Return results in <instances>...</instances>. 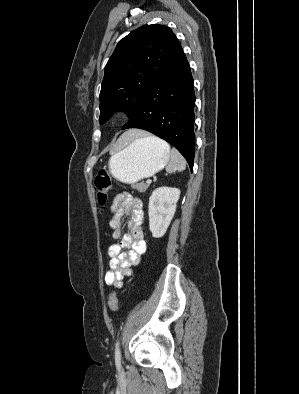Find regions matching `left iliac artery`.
<instances>
[{
    "instance_id": "left-iliac-artery-1",
    "label": "left iliac artery",
    "mask_w": 299,
    "mask_h": 394,
    "mask_svg": "<svg viewBox=\"0 0 299 394\" xmlns=\"http://www.w3.org/2000/svg\"><path fill=\"white\" fill-rule=\"evenodd\" d=\"M115 363L117 367H120L121 355H120L119 341H117L115 345Z\"/></svg>"
}]
</instances>
